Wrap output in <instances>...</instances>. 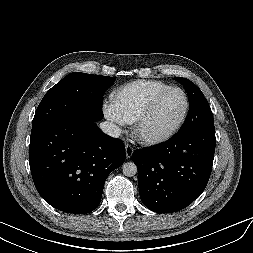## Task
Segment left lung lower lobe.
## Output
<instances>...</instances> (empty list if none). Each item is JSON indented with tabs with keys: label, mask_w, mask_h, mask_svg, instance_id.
<instances>
[{
	"label": "left lung lower lobe",
	"mask_w": 253,
	"mask_h": 253,
	"mask_svg": "<svg viewBox=\"0 0 253 253\" xmlns=\"http://www.w3.org/2000/svg\"><path fill=\"white\" fill-rule=\"evenodd\" d=\"M216 146L214 125L176 133L162 144L136 150L139 193L143 204L172 213L191 204L205 189Z\"/></svg>",
	"instance_id": "0a47b994"
}]
</instances>
